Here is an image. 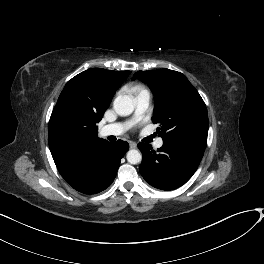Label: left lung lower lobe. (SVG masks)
Here are the masks:
<instances>
[{
    "label": "left lung lower lobe",
    "mask_w": 264,
    "mask_h": 264,
    "mask_svg": "<svg viewBox=\"0 0 264 264\" xmlns=\"http://www.w3.org/2000/svg\"><path fill=\"white\" fill-rule=\"evenodd\" d=\"M142 152L140 173L147 183L161 190H174L185 184L197 170L205 148L192 142H163L157 151L139 143Z\"/></svg>",
    "instance_id": "obj_1"
}]
</instances>
